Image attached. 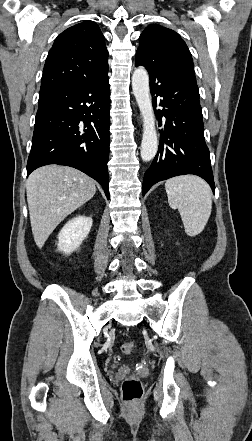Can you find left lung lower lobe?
I'll use <instances>...</instances> for the list:
<instances>
[{
	"mask_svg": "<svg viewBox=\"0 0 252 441\" xmlns=\"http://www.w3.org/2000/svg\"><path fill=\"white\" fill-rule=\"evenodd\" d=\"M142 66L149 72L154 108L163 107L156 114L159 126L162 117L166 118L157 155L144 175L142 195L159 181L185 174L202 177L215 192L195 76L175 63H162L153 69Z\"/></svg>",
	"mask_w": 252,
	"mask_h": 441,
	"instance_id": "0a47b994",
	"label": "left lung lower lobe"
}]
</instances>
